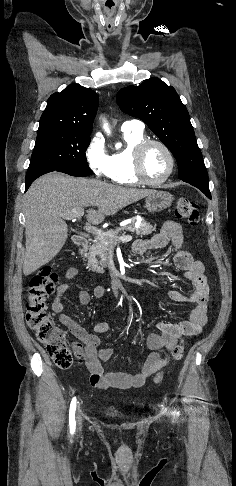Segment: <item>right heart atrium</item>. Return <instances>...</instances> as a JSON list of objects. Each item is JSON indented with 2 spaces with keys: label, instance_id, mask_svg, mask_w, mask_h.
<instances>
[{
  "label": "right heart atrium",
  "instance_id": "d8ad5b80",
  "mask_svg": "<svg viewBox=\"0 0 236 486\" xmlns=\"http://www.w3.org/2000/svg\"><path fill=\"white\" fill-rule=\"evenodd\" d=\"M85 157L92 172L101 178H110V155L105 148L104 140L94 135L87 144Z\"/></svg>",
  "mask_w": 236,
  "mask_h": 486
}]
</instances>
